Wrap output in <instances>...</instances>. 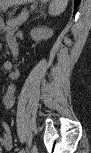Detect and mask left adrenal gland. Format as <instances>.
<instances>
[{
	"instance_id": "obj_1",
	"label": "left adrenal gland",
	"mask_w": 91,
	"mask_h": 153,
	"mask_svg": "<svg viewBox=\"0 0 91 153\" xmlns=\"http://www.w3.org/2000/svg\"><path fill=\"white\" fill-rule=\"evenodd\" d=\"M44 14H43V12H40V16H43Z\"/></svg>"
}]
</instances>
